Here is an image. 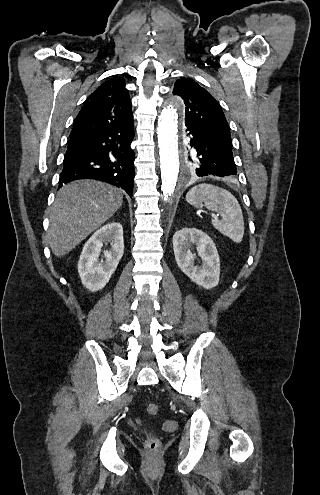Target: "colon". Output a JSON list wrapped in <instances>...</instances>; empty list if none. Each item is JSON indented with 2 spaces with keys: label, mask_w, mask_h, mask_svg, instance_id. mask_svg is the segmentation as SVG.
Returning a JSON list of instances; mask_svg holds the SVG:
<instances>
[{
  "label": "colon",
  "mask_w": 320,
  "mask_h": 495,
  "mask_svg": "<svg viewBox=\"0 0 320 495\" xmlns=\"http://www.w3.org/2000/svg\"><path fill=\"white\" fill-rule=\"evenodd\" d=\"M160 411V406L157 403H149L147 405V413L151 416H155L159 413ZM145 446L146 449L149 451H156L160 447V440L150 434H146V441H145Z\"/></svg>",
  "instance_id": "obj_1"
}]
</instances>
